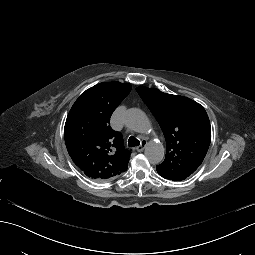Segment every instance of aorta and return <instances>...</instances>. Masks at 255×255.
<instances>
[{
  "mask_svg": "<svg viewBox=\"0 0 255 255\" xmlns=\"http://www.w3.org/2000/svg\"><path fill=\"white\" fill-rule=\"evenodd\" d=\"M125 124L135 132L147 133L151 131V123L146 114L138 108H130L125 113ZM165 149L162 143L150 141L145 148V156L152 164L162 162Z\"/></svg>",
  "mask_w": 255,
  "mask_h": 255,
  "instance_id": "obj_1",
  "label": "aorta"
}]
</instances>
